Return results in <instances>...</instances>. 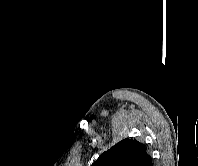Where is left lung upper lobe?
<instances>
[{"label": "left lung upper lobe", "mask_w": 198, "mask_h": 166, "mask_svg": "<svg viewBox=\"0 0 198 166\" xmlns=\"http://www.w3.org/2000/svg\"><path fill=\"white\" fill-rule=\"evenodd\" d=\"M92 166H153L145 145L124 139L99 156Z\"/></svg>", "instance_id": "left-lung-upper-lobe-1"}]
</instances>
